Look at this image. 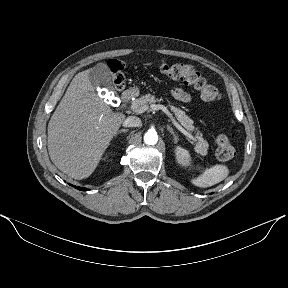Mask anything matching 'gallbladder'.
Returning a JSON list of instances; mask_svg holds the SVG:
<instances>
[{
  "label": "gallbladder",
  "instance_id": "1",
  "mask_svg": "<svg viewBox=\"0 0 288 288\" xmlns=\"http://www.w3.org/2000/svg\"><path fill=\"white\" fill-rule=\"evenodd\" d=\"M88 77L93 86L113 90L111 72L105 63H98L91 68Z\"/></svg>",
  "mask_w": 288,
  "mask_h": 288
}]
</instances>
